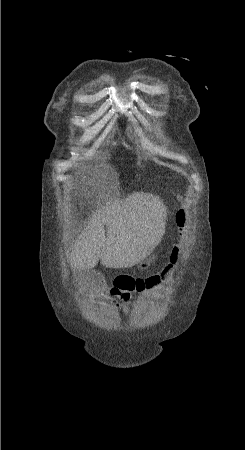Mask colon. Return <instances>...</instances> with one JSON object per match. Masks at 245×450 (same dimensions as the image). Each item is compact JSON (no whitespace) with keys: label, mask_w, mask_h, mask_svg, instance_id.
I'll use <instances>...</instances> for the list:
<instances>
[{"label":"colon","mask_w":245,"mask_h":450,"mask_svg":"<svg viewBox=\"0 0 245 450\" xmlns=\"http://www.w3.org/2000/svg\"><path fill=\"white\" fill-rule=\"evenodd\" d=\"M176 224L180 237L186 238L189 230V218L184 211H180L176 216ZM180 256L181 250L178 246H175L170 255V265L177 264ZM118 284L122 289L134 293L144 285V280L140 277L127 276L119 279Z\"/></svg>","instance_id":"obj_1"}]
</instances>
